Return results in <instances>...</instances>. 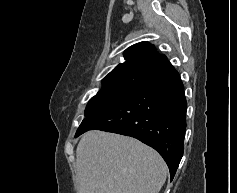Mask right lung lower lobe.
Masks as SVG:
<instances>
[{
	"label": "right lung lower lobe",
	"mask_w": 237,
	"mask_h": 193,
	"mask_svg": "<svg viewBox=\"0 0 237 193\" xmlns=\"http://www.w3.org/2000/svg\"><path fill=\"white\" fill-rule=\"evenodd\" d=\"M186 108L180 76L162 54L124 101L84 119L75 137L98 129L137 138L159 152L172 180L183 156Z\"/></svg>",
	"instance_id": "98d812e1"
}]
</instances>
